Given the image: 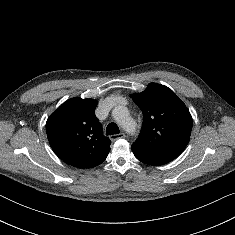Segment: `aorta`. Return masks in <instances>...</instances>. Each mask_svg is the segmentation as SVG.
Here are the masks:
<instances>
[{"mask_svg": "<svg viewBox=\"0 0 235 235\" xmlns=\"http://www.w3.org/2000/svg\"><path fill=\"white\" fill-rule=\"evenodd\" d=\"M112 116L114 120L123 127L127 132L133 130L132 120L129 116V111L124 106H117L112 111Z\"/></svg>", "mask_w": 235, "mask_h": 235, "instance_id": "aorta-1", "label": "aorta"}]
</instances>
